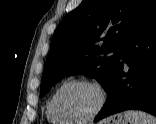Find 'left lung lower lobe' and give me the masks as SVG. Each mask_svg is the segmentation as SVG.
Returning a JSON list of instances; mask_svg holds the SVG:
<instances>
[{"label": "left lung lower lobe", "mask_w": 156, "mask_h": 124, "mask_svg": "<svg viewBox=\"0 0 156 124\" xmlns=\"http://www.w3.org/2000/svg\"><path fill=\"white\" fill-rule=\"evenodd\" d=\"M124 62L130 68L127 73ZM106 91L107 100L94 122L128 109L156 116V1L123 47Z\"/></svg>", "instance_id": "1"}]
</instances>
